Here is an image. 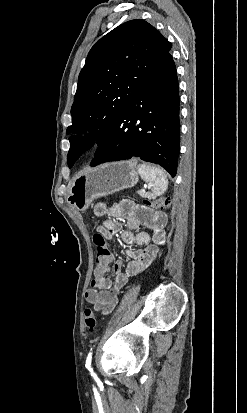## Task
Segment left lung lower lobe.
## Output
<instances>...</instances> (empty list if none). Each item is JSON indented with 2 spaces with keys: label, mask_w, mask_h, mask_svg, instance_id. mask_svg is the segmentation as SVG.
<instances>
[{
  "label": "left lung lower lobe",
  "mask_w": 247,
  "mask_h": 413,
  "mask_svg": "<svg viewBox=\"0 0 247 413\" xmlns=\"http://www.w3.org/2000/svg\"><path fill=\"white\" fill-rule=\"evenodd\" d=\"M179 144V86L168 52L118 116L90 165L137 157L161 165L174 177Z\"/></svg>",
  "instance_id": "1"
}]
</instances>
